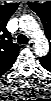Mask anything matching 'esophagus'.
<instances>
[{"label": "esophagus", "instance_id": "1", "mask_svg": "<svg viewBox=\"0 0 51 101\" xmlns=\"http://www.w3.org/2000/svg\"><path fill=\"white\" fill-rule=\"evenodd\" d=\"M27 47H28V48H33V47H34V42H33V41H30V42L27 44Z\"/></svg>", "mask_w": 51, "mask_h": 101}]
</instances>
